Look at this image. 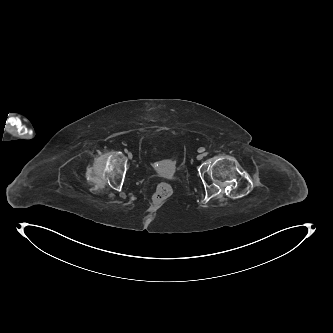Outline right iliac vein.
Segmentation results:
<instances>
[{
	"label": "right iliac vein",
	"mask_w": 333,
	"mask_h": 333,
	"mask_svg": "<svg viewBox=\"0 0 333 333\" xmlns=\"http://www.w3.org/2000/svg\"><path fill=\"white\" fill-rule=\"evenodd\" d=\"M128 158H129V159H132V158H133V155H132L131 152L128 153Z\"/></svg>",
	"instance_id": "1"
}]
</instances>
